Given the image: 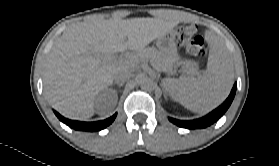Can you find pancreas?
<instances>
[{
  "instance_id": "obj_1",
  "label": "pancreas",
  "mask_w": 279,
  "mask_h": 166,
  "mask_svg": "<svg viewBox=\"0 0 279 166\" xmlns=\"http://www.w3.org/2000/svg\"><path fill=\"white\" fill-rule=\"evenodd\" d=\"M134 59L135 62L150 61L157 70H168L172 68L173 63L175 62L174 58L159 52L155 48H145L139 51L134 56ZM189 64L190 66H194L193 63Z\"/></svg>"
}]
</instances>
